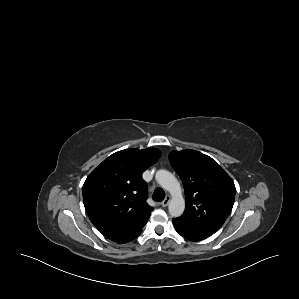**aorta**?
<instances>
[{
	"label": "aorta",
	"mask_w": 299,
	"mask_h": 299,
	"mask_svg": "<svg viewBox=\"0 0 299 299\" xmlns=\"http://www.w3.org/2000/svg\"><path fill=\"white\" fill-rule=\"evenodd\" d=\"M155 178L158 184L166 189L171 195L168 205L170 215L172 217L181 216L185 209V200L182 195L179 181L167 170H158Z\"/></svg>",
	"instance_id": "1"
}]
</instances>
